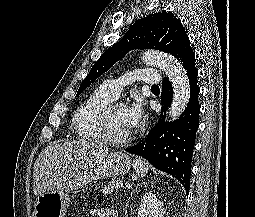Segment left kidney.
<instances>
[{
	"mask_svg": "<svg viewBox=\"0 0 255 217\" xmlns=\"http://www.w3.org/2000/svg\"><path fill=\"white\" fill-rule=\"evenodd\" d=\"M164 213V208L156 195L146 192L138 208V217H163Z\"/></svg>",
	"mask_w": 255,
	"mask_h": 217,
	"instance_id": "obj_1",
	"label": "left kidney"
}]
</instances>
